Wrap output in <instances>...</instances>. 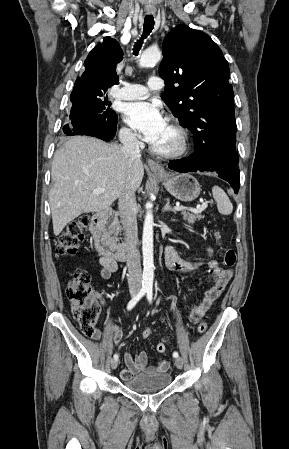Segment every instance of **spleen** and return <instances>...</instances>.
I'll return each instance as SVG.
<instances>
[{"label":"spleen","instance_id":"obj_1","mask_svg":"<svg viewBox=\"0 0 289 449\" xmlns=\"http://www.w3.org/2000/svg\"><path fill=\"white\" fill-rule=\"evenodd\" d=\"M213 198L217 202V208L220 214L230 215L233 211V205L227 194L219 187L212 188Z\"/></svg>","mask_w":289,"mask_h":449}]
</instances>
